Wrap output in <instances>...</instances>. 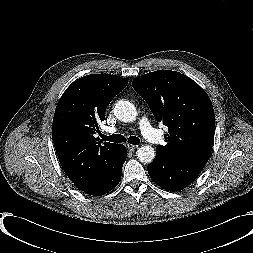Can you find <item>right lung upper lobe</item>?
Masks as SVG:
<instances>
[{"label":"right lung upper lobe","instance_id":"1","mask_svg":"<svg viewBox=\"0 0 253 253\" xmlns=\"http://www.w3.org/2000/svg\"><path fill=\"white\" fill-rule=\"evenodd\" d=\"M128 79L91 74L74 81L61 96L53 119V142L69 179L86 192L98 185L116 166L120 144L99 141L100 121Z\"/></svg>","mask_w":253,"mask_h":253}]
</instances>
